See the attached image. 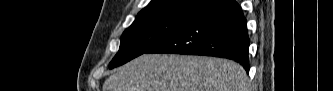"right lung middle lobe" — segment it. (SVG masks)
I'll return each instance as SVG.
<instances>
[{
	"label": "right lung middle lobe",
	"mask_w": 333,
	"mask_h": 91,
	"mask_svg": "<svg viewBox=\"0 0 333 91\" xmlns=\"http://www.w3.org/2000/svg\"><path fill=\"white\" fill-rule=\"evenodd\" d=\"M216 3L214 0H206L201 8L203 11ZM189 18L181 17H143L136 18L121 37L118 53L109 64V68L120 66L133 58L146 53L176 31L181 29Z\"/></svg>",
	"instance_id": "obj_1"
}]
</instances>
